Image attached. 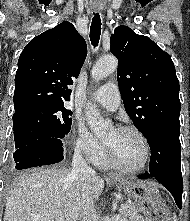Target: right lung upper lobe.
I'll return each instance as SVG.
<instances>
[{
    "label": "right lung upper lobe",
    "instance_id": "right-lung-upper-lobe-1",
    "mask_svg": "<svg viewBox=\"0 0 190 221\" xmlns=\"http://www.w3.org/2000/svg\"><path fill=\"white\" fill-rule=\"evenodd\" d=\"M87 56L84 38L70 22H62L32 39L18 60L15 113L37 105H64L68 85L78 77Z\"/></svg>",
    "mask_w": 190,
    "mask_h": 221
}]
</instances>
